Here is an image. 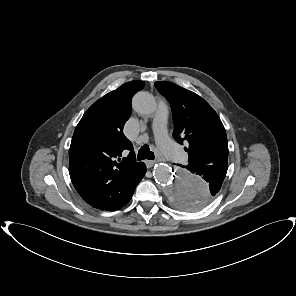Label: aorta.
Segmentation results:
<instances>
[{
    "instance_id": "1",
    "label": "aorta",
    "mask_w": 296,
    "mask_h": 296,
    "mask_svg": "<svg viewBox=\"0 0 296 296\" xmlns=\"http://www.w3.org/2000/svg\"><path fill=\"white\" fill-rule=\"evenodd\" d=\"M132 105L134 110L142 115H150L157 109L155 98L143 91L133 97ZM153 175L163 187L168 200L181 210L199 212L207 208L212 201V186L200 174L159 164L154 168Z\"/></svg>"
}]
</instances>
